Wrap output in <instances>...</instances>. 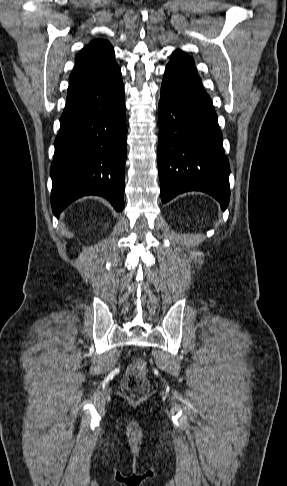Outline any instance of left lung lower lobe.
<instances>
[{
	"label": "left lung lower lobe",
	"mask_w": 287,
	"mask_h": 486,
	"mask_svg": "<svg viewBox=\"0 0 287 486\" xmlns=\"http://www.w3.org/2000/svg\"><path fill=\"white\" fill-rule=\"evenodd\" d=\"M158 119L162 202L196 190L212 195L225 210L230 167L217 114L197 70L174 57L165 69Z\"/></svg>",
	"instance_id": "obj_1"
}]
</instances>
